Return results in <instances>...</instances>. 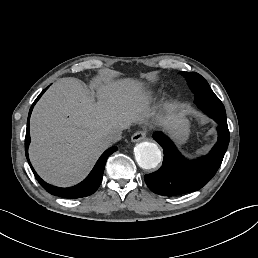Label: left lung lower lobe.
Segmentation results:
<instances>
[{"mask_svg": "<svg viewBox=\"0 0 258 258\" xmlns=\"http://www.w3.org/2000/svg\"><path fill=\"white\" fill-rule=\"evenodd\" d=\"M194 98L198 108L219 125L218 141L206 156L188 160L166 135L156 132L153 138L163 148V164L156 172L144 176L147 186L156 194L175 196L197 191L212 179L222 163L229 144L225 108L210 87L196 89Z\"/></svg>", "mask_w": 258, "mask_h": 258, "instance_id": "obj_1", "label": "left lung lower lobe"}]
</instances>
